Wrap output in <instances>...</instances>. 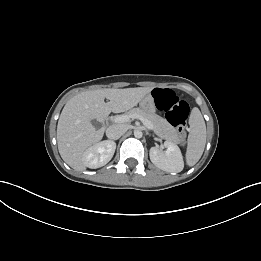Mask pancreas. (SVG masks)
<instances>
[{
  "instance_id": "pancreas-1",
  "label": "pancreas",
  "mask_w": 261,
  "mask_h": 261,
  "mask_svg": "<svg viewBox=\"0 0 261 261\" xmlns=\"http://www.w3.org/2000/svg\"><path fill=\"white\" fill-rule=\"evenodd\" d=\"M125 115H139L152 123L154 133L160 138L172 143L180 142L176 129L166 119L155 113H149L140 108H133L126 112Z\"/></svg>"
}]
</instances>
